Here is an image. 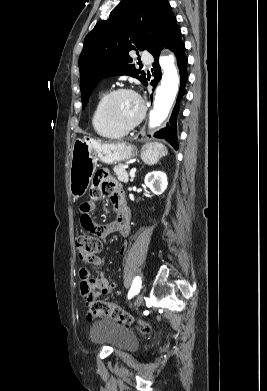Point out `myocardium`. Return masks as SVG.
<instances>
[{
    "mask_svg": "<svg viewBox=\"0 0 267 391\" xmlns=\"http://www.w3.org/2000/svg\"><path fill=\"white\" fill-rule=\"evenodd\" d=\"M124 93H128V94L133 95L138 100V102L140 104V113H139L138 117L133 122H131L130 124H127V125H123V124L119 123L118 121H116L112 115V110H111L113 100L118 95L124 94ZM103 114H104L106 121L112 127H114L115 129L124 131V132H128V131L134 129L135 127H137L142 122V120L144 119L145 114H146V105H145L143 99L140 97V95L136 91H134L131 88H127V87H119V88L113 89L112 91H110L107 94L105 101H104V104H103Z\"/></svg>",
    "mask_w": 267,
    "mask_h": 391,
    "instance_id": "f54148a6",
    "label": "myocardium"
}]
</instances>
